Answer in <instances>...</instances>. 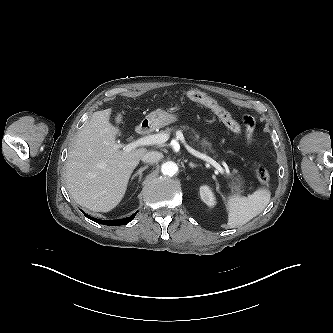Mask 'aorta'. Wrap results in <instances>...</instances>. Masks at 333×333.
I'll use <instances>...</instances> for the list:
<instances>
[{
  "mask_svg": "<svg viewBox=\"0 0 333 333\" xmlns=\"http://www.w3.org/2000/svg\"><path fill=\"white\" fill-rule=\"evenodd\" d=\"M161 172L167 176H174L178 172V166L175 162L167 161L162 164Z\"/></svg>",
  "mask_w": 333,
  "mask_h": 333,
  "instance_id": "obj_1",
  "label": "aorta"
}]
</instances>
